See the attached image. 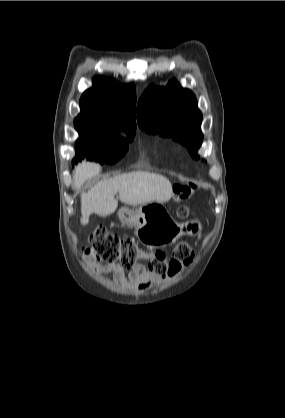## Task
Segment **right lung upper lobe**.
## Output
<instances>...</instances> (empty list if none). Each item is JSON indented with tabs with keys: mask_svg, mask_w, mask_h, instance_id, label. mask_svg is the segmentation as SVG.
Segmentation results:
<instances>
[{
	"mask_svg": "<svg viewBox=\"0 0 285 418\" xmlns=\"http://www.w3.org/2000/svg\"><path fill=\"white\" fill-rule=\"evenodd\" d=\"M136 90L133 83L120 85L104 77H96L93 87L81 99V113L77 118L100 121L126 128H136Z\"/></svg>",
	"mask_w": 285,
	"mask_h": 418,
	"instance_id": "1",
	"label": "right lung upper lobe"
}]
</instances>
